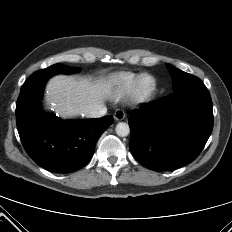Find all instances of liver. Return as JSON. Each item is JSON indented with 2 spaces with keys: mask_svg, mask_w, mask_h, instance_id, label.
Masks as SVG:
<instances>
[{
  "mask_svg": "<svg viewBox=\"0 0 232 232\" xmlns=\"http://www.w3.org/2000/svg\"><path fill=\"white\" fill-rule=\"evenodd\" d=\"M110 89L111 83L104 80L56 75L48 83L47 101L62 118H69L102 105Z\"/></svg>",
  "mask_w": 232,
  "mask_h": 232,
  "instance_id": "6515ba94",
  "label": "liver"
}]
</instances>
